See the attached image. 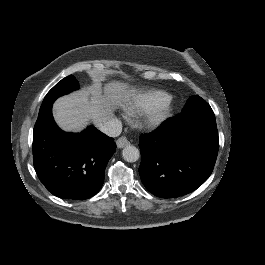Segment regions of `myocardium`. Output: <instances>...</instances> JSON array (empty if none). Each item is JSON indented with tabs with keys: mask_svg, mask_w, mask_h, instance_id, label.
Masks as SVG:
<instances>
[{
	"mask_svg": "<svg viewBox=\"0 0 265 265\" xmlns=\"http://www.w3.org/2000/svg\"><path fill=\"white\" fill-rule=\"evenodd\" d=\"M163 100V103L160 101ZM174 110L173 97L166 92H158L143 110L142 126L153 128L166 119Z\"/></svg>",
	"mask_w": 265,
	"mask_h": 265,
	"instance_id": "f54148a6",
	"label": "myocardium"
}]
</instances>
